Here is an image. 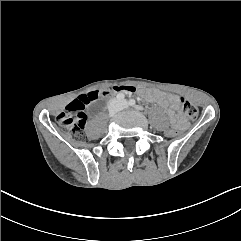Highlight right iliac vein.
I'll list each match as a JSON object with an SVG mask.
<instances>
[{
	"label": "right iliac vein",
	"instance_id": "obj_1",
	"mask_svg": "<svg viewBox=\"0 0 241 241\" xmlns=\"http://www.w3.org/2000/svg\"><path fill=\"white\" fill-rule=\"evenodd\" d=\"M118 110V106L116 103L112 104L109 108L110 115H114Z\"/></svg>",
	"mask_w": 241,
	"mask_h": 241
}]
</instances>
